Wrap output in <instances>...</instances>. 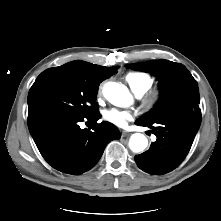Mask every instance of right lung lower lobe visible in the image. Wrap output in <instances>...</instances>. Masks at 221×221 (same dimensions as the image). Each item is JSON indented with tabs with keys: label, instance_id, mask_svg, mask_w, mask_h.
I'll use <instances>...</instances> for the list:
<instances>
[{
	"label": "right lung lower lobe",
	"instance_id": "98d812e1",
	"mask_svg": "<svg viewBox=\"0 0 221 221\" xmlns=\"http://www.w3.org/2000/svg\"><path fill=\"white\" fill-rule=\"evenodd\" d=\"M99 112L78 116L63 112H41L28 116V128L43 158L56 170L79 175L99 161L106 145L121 137L115 125L100 124ZM91 121L90 129L79 122Z\"/></svg>",
	"mask_w": 221,
	"mask_h": 221
}]
</instances>
